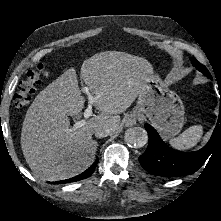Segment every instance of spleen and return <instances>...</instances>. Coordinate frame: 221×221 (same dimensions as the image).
Segmentation results:
<instances>
[{
	"label": "spleen",
	"mask_w": 221,
	"mask_h": 221,
	"mask_svg": "<svg viewBox=\"0 0 221 221\" xmlns=\"http://www.w3.org/2000/svg\"><path fill=\"white\" fill-rule=\"evenodd\" d=\"M203 135V127L194 125L170 140V145L177 150H187L194 147Z\"/></svg>",
	"instance_id": "obj_1"
}]
</instances>
